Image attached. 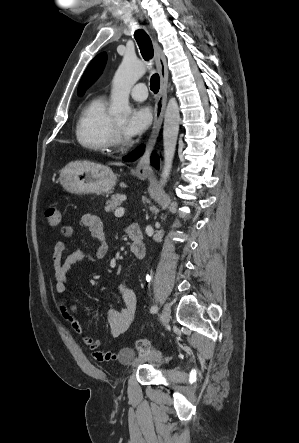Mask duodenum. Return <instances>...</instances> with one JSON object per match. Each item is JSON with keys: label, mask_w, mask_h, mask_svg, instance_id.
<instances>
[{"label": "duodenum", "mask_w": 299, "mask_h": 443, "mask_svg": "<svg viewBox=\"0 0 299 443\" xmlns=\"http://www.w3.org/2000/svg\"><path fill=\"white\" fill-rule=\"evenodd\" d=\"M127 234L132 242L131 251L133 255L137 258H142L145 254V246L140 228L137 226H130L127 229Z\"/></svg>", "instance_id": "duodenum-1"}]
</instances>
